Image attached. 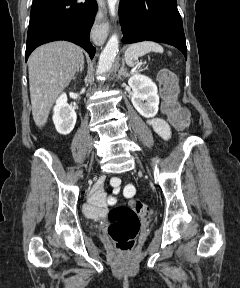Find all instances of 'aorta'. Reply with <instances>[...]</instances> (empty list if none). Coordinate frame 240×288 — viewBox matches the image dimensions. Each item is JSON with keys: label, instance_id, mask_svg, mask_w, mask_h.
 Masks as SVG:
<instances>
[{"label": "aorta", "instance_id": "aorta-1", "mask_svg": "<svg viewBox=\"0 0 240 288\" xmlns=\"http://www.w3.org/2000/svg\"><path fill=\"white\" fill-rule=\"evenodd\" d=\"M107 3L111 17L115 18L116 5L118 3V0H107ZM118 51H119V39L117 34H113L109 38L105 48L100 54L97 67V75H101L110 70Z\"/></svg>", "mask_w": 240, "mask_h": 288}]
</instances>
